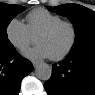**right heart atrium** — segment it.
I'll return each mask as SVG.
<instances>
[{"instance_id":"1","label":"right heart atrium","mask_w":95,"mask_h":95,"mask_svg":"<svg viewBox=\"0 0 95 95\" xmlns=\"http://www.w3.org/2000/svg\"><path fill=\"white\" fill-rule=\"evenodd\" d=\"M8 41L20 51L26 49L33 42V35L25 23L17 18L11 19L5 28Z\"/></svg>"}]
</instances>
